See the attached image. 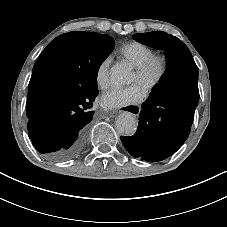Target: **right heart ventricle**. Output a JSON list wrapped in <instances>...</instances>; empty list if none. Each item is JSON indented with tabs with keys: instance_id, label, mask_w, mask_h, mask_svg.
<instances>
[{
	"instance_id": "1",
	"label": "right heart ventricle",
	"mask_w": 227,
	"mask_h": 227,
	"mask_svg": "<svg viewBox=\"0 0 227 227\" xmlns=\"http://www.w3.org/2000/svg\"><path fill=\"white\" fill-rule=\"evenodd\" d=\"M119 51L126 61L136 69L153 55L152 48L140 41H129L123 44Z\"/></svg>"
}]
</instances>
